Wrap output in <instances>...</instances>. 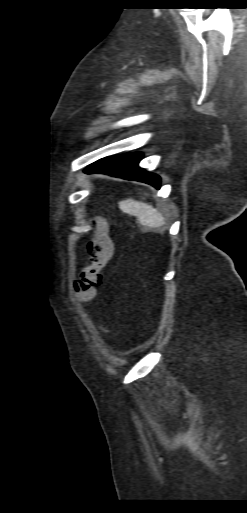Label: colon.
I'll return each mask as SVG.
<instances>
[{
    "mask_svg": "<svg viewBox=\"0 0 247 513\" xmlns=\"http://www.w3.org/2000/svg\"><path fill=\"white\" fill-rule=\"evenodd\" d=\"M89 262L80 270L74 281V290L83 299L93 297L96 289L101 286L102 270L113 255V245L105 224H96L94 236L87 243Z\"/></svg>",
    "mask_w": 247,
    "mask_h": 513,
    "instance_id": "obj_1",
    "label": "colon"
}]
</instances>
